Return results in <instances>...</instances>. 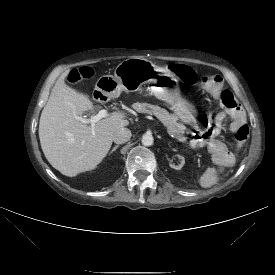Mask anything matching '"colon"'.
Segmentation results:
<instances>
[{"label":"colon","instance_id":"obj_1","mask_svg":"<svg viewBox=\"0 0 275 275\" xmlns=\"http://www.w3.org/2000/svg\"><path fill=\"white\" fill-rule=\"evenodd\" d=\"M171 70L176 73L180 79L187 85H195L201 83L203 85H209L211 82L215 81L216 76H202L199 77L194 70L190 67L180 64L172 65ZM92 77V70L88 67H83L78 70H74L70 73L68 77V82L71 85H76L82 81L88 80ZM220 101L222 107V113L216 120V125L222 122L223 116L228 113L236 104L233 94L225 89L220 94ZM235 147L241 149L245 146L249 138V129L247 126L240 128L235 133Z\"/></svg>","mask_w":275,"mask_h":275}]
</instances>
